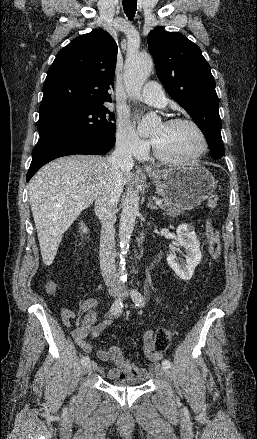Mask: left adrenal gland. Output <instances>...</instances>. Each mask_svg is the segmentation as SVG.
Returning a JSON list of instances; mask_svg holds the SVG:
<instances>
[{
	"label": "left adrenal gland",
	"mask_w": 257,
	"mask_h": 439,
	"mask_svg": "<svg viewBox=\"0 0 257 439\" xmlns=\"http://www.w3.org/2000/svg\"><path fill=\"white\" fill-rule=\"evenodd\" d=\"M147 207L151 208L153 210L157 209V206L155 204H153L151 197L149 198V203H148Z\"/></svg>",
	"instance_id": "left-adrenal-gland-1"
}]
</instances>
